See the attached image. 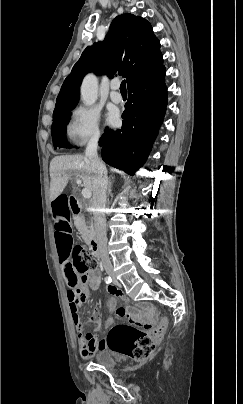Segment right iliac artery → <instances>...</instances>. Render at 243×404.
Here are the masks:
<instances>
[{
    "mask_svg": "<svg viewBox=\"0 0 243 404\" xmlns=\"http://www.w3.org/2000/svg\"><path fill=\"white\" fill-rule=\"evenodd\" d=\"M104 281H105L106 283H111V282H112V279H111L110 276H107V277H105Z\"/></svg>",
    "mask_w": 243,
    "mask_h": 404,
    "instance_id": "82829eb1",
    "label": "right iliac artery"
}]
</instances>
